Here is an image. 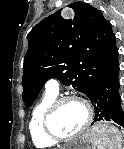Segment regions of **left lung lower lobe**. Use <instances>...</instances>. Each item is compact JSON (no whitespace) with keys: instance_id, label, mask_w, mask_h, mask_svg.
Segmentation results:
<instances>
[{"instance_id":"1","label":"left lung lower lobe","mask_w":124,"mask_h":149,"mask_svg":"<svg viewBox=\"0 0 124 149\" xmlns=\"http://www.w3.org/2000/svg\"><path fill=\"white\" fill-rule=\"evenodd\" d=\"M119 65L101 77L86 93L94 106V121H113L124 128V112L119 94ZM94 121L92 124H94Z\"/></svg>"}]
</instances>
